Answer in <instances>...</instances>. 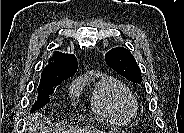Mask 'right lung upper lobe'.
<instances>
[{"instance_id": "cb5924a9", "label": "right lung upper lobe", "mask_w": 184, "mask_h": 133, "mask_svg": "<svg viewBox=\"0 0 184 133\" xmlns=\"http://www.w3.org/2000/svg\"><path fill=\"white\" fill-rule=\"evenodd\" d=\"M53 60L51 62L52 59H49V65L43 69L38 88H45L53 82H62L76 73L78 63L74 55L56 52Z\"/></svg>"}]
</instances>
